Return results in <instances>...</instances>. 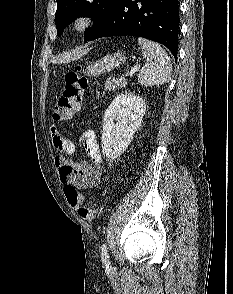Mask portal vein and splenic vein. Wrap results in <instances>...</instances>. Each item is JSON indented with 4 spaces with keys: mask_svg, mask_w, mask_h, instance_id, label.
I'll return each mask as SVG.
<instances>
[{
    "mask_svg": "<svg viewBox=\"0 0 233 294\" xmlns=\"http://www.w3.org/2000/svg\"><path fill=\"white\" fill-rule=\"evenodd\" d=\"M139 67H140V66H136V67H134L133 69H131V70L128 72L127 76H128V77H132V76L138 71ZM122 78H123V77H122Z\"/></svg>",
    "mask_w": 233,
    "mask_h": 294,
    "instance_id": "18ae733b",
    "label": "portal vein and splenic vein"
}]
</instances>
